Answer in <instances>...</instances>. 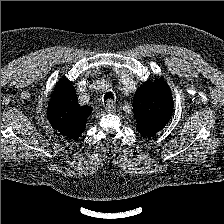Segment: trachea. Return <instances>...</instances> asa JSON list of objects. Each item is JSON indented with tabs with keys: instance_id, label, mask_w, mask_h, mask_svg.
Returning a JSON list of instances; mask_svg holds the SVG:
<instances>
[{
	"instance_id": "obj_1",
	"label": "trachea",
	"mask_w": 224,
	"mask_h": 224,
	"mask_svg": "<svg viewBox=\"0 0 224 224\" xmlns=\"http://www.w3.org/2000/svg\"><path fill=\"white\" fill-rule=\"evenodd\" d=\"M107 99H111V100L114 99V96H113L112 92H107V93L104 95V101H106Z\"/></svg>"
}]
</instances>
